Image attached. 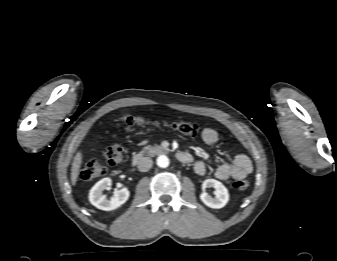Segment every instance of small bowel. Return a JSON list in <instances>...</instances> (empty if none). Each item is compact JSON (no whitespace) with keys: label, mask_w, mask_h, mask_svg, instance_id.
<instances>
[{"label":"small bowel","mask_w":337,"mask_h":261,"mask_svg":"<svg viewBox=\"0 0 337 261\" xmlns=\"http://www.w3.org/2000/svg\"><path fill=\"white\" fill-rule=\"evenodd\" d=\"M219 139L216 130L206 128L202 132V140L209 146L214 145ZM253 166L250 158L245 154H237L229 163L219 165L215 170V177L219 180H227L229 178L242 179L252 172ZM195 172L203 176L206 174L207 168L203 161H198L194 166Z\"/></svg>","instance_id":"small-bowel-1"}]
</instances>
